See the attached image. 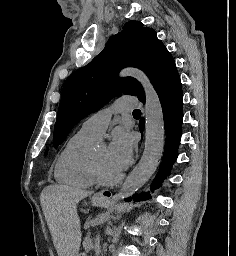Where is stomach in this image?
I'll use <instances>...</instances> for the list:
<instances>
[{
  "mask_svg": "<svg viewBox=\"0 0 236 256\" xmlns=\"http://www.w3.org/2000/svg\"><path fill=\"white\" fill-rule=\"evenodd\" d=\"M92 203L96 206H101L103 204V201L94 200ZM77 256H85V254H78Z\"/></svg>",
  "mask_w": 236,
  "mask_h": 256,
  "instance_id": "stomach-1",
  "label": "stomach"
}]
</instances>
